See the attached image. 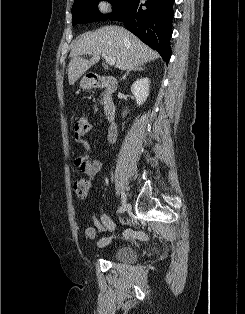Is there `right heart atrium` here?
Wrapping results in <instances>:
<instances>
[{"instance_id":"d8ad5b80","label":"right heart atrium","mask_w":245,"mask_h":314,"mask_svg":"<svg viewBox=\"0 0 245 314\" xmlns=\"http://www.w3.org/2000/svg\"><path fill=\"white\" fill-rule=\"evenodd\" d=\"M97 8L100 12H107L108 11V3L104 0H100L97 2Z\"/></svg>"}]
</instances>
